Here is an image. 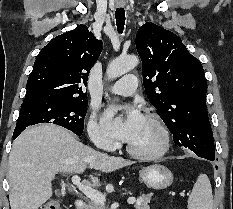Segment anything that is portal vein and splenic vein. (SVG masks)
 Instances as JSON below:
<instances>
[{"instance_id": "portal-vein-and-splenic-vein-1", "label": "portal vein and splenic vein", "mask_w": 233, "mask_h": 209, "mask_svg": "<svg viewBox=\"0 0 233 209\" xmlns=\"http://www.w3.org/2000/svg\"><path fill=\"white\" fill-rule=\"evenodd\" d=\"M72 182L74 185H76L79 190L90 200L99 203V204H105L106 198L105 195L102 194L100 191L91 188L90 186H87L85 184L81 183V179L79 176L75 175L72 177ZM139 200V199H138ZM137 200V202H138ZM128 204H134L136 202L135 197H129L127 200Z\"/></svg>"}]
</instances>
